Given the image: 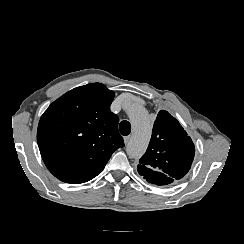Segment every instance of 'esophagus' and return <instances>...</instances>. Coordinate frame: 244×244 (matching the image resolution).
<instances>
[{"label": "esophagus", "mask_w": 244, "mask_h": 244, "mask_svg": "<svg viewBox=\"0 0 244 244\" xmlns=\"http://www.w3.org/2000/svg\"><path fill=\"white\" fill-rule=\"evenodd\" d=\"M130 140H131V135L125 136L124 137V143H125V145H128L129 142H130Z\"/></svg>", "instance_id": "34e87169"}]
</instances>
